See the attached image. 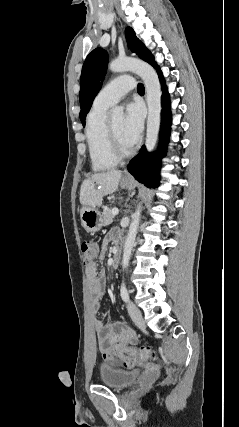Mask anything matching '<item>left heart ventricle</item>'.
Instances as JSON below:
<instances>
[{"instance_id":"b2bd125f","label":"left heart ventricle","mask_w":239,"mask_h":427,"mask_svg":"<svg viewBox=\"0 0 239 427\" xmlns=\"http://www.w3.org/2000/svg\"><path fill=\"white\" fill-rule=\"evenodd\" d=\"M110 124L112 126V129H113V131L117 137V140H118L120 146L124 150H128V149L132 148V146L130 144H128V142L125 140V138L123 136V132H122L123 120L118 119V120L111 122Z\"/></svg>"}]
</instances>
